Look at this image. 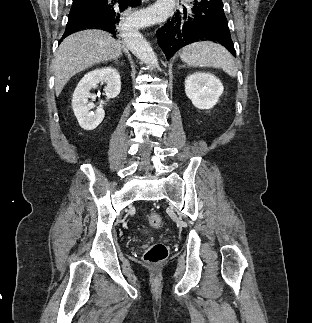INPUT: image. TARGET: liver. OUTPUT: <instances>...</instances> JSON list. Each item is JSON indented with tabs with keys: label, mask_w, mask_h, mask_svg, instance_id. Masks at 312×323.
Listing matches in <instances>:
<instances>
[{
	"label": "liver",
	"mask_w": 312,
	"mask_h": 323,
	"mask_svg": "<svg viewBox=\"0 0 312 323\" xmlns=\"http://www.w3.org/2000/svg\"><path fill=\"white\" fill-rule=\"evenodd\" d=\"M122 56V46L103 30H82L67 36L60 44L53 66L55 94H61L72 76L86 68Z\"/></svg>",
	"instance_id": "liver-1"
}]
</instances>
